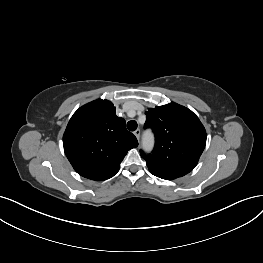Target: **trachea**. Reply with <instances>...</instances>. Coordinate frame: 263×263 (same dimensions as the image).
<instances>
[{"label": "trachea", "instance_id": "1", "mask_svg": "<svg viewBox=\"0 0 263 263\" xmlns=\"http://www.w3.org/2000/svg\"><path fill=\"white\" fill-rule=\"evenodd\" d=\"M127 128L130 131H135L137 129V122L135 120H131L127 123Z\"/></svg>", "mask_w": 263, "mask_h": 263}]
</instances>
